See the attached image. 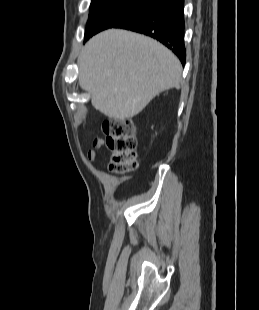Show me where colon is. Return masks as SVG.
I'll use <instances>...</instances> for the list:
<instances>
[{
    "label": "colon",
    "mask_w": 259,
    "mask_h": 310,
    "mask_svg": "<svg viewBox=\"0 0 259 310\" xmlns=\"http://www.w3.org/2000/svg\"><path fill=\"white\" fill-rule=\"evenodd\" d=\"M102 130L111 151L110 168L116 173H127L137 168V139L135 125L130 119H110Z\"/></svg>",
    "instance_id": "5ec220e1"
}]
</instances>
